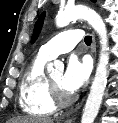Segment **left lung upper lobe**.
<instances>
[{
  "instance_id": "1",
  "label": "left lung upper lobe",
  "mask_w": 118,
  "mask_h": 123,
  "mask_svg": "<svg viewBox=\"0 0 118 123\" xmlns=\"http://www.w3.org/2000/svg\"><path fill=\"white\" fill-rule=\"evenodd\" d=\"M92 1L95 2L96 0H92ZM45 15H46V13L43 12L40 15V17L38 18V20L36 21V24H35V27H34V31H33V36H32V43L37 39V37H38V35H39L40 31H41Z\"/></svg>"
}]
</instances>
